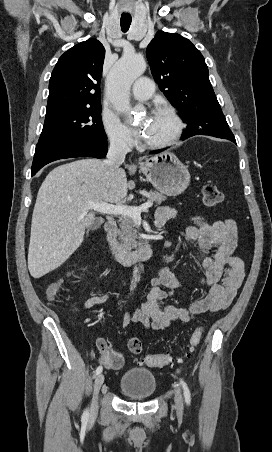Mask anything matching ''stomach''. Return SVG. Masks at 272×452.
I'll list each match as a JSON object with an SVG mask.
<instances>
[{"label":"stomach","mask_w":272,"mask_h":452,"mask_svg":"<svg viewBox=\"0 0 272 452\" xmlns=\"http://www.w3.org/2000/svg\"><path fill=\"white\" fill-rule=\"evenodd\" d=\"M140 170L160 193L177 196L190 183V173L178 157L169 151L162 152L140 163Z\"/></svg>","instance_id":"0dacf381"}]
</instances>
